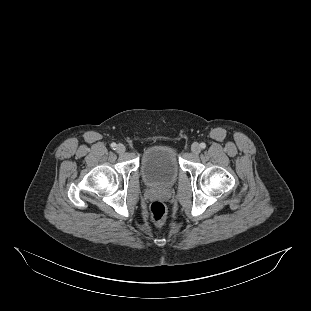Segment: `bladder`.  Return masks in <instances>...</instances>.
I'll use <instances>...</instances> for the list:
<instances>
[{"label": "bladder", "instance_id": "31cf9c89", "mask_svg": "<svg viewBox=\"0 0 311 311\" xmlns=\"http://www.w3.org/2000/svg\"><path fill=\"white\" fill-rule=\"evenodd\" d=\"M180 171L176 148L171 144H156L143 155L141 173L145 183L151 187H170Z\"/></svg>", "mask_w": 311, "mask_h": 311}]
</instances>
